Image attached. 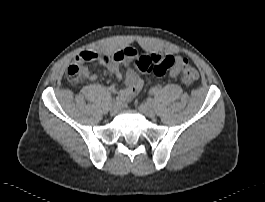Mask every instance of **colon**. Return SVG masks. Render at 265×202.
I'll return each instance as SVG.
<instances>
[{"label":"colon","mask_w":265,"mask_h":202,"mask_svg":"<svg viewBox=\"0 0 265 202\" xmlns=\"http://www.w3.org/2000/svg\"><path fill=\"white\" fill-rule=\"evenodd\" d=\"M133 51L122 50L115 54L116 59L125 56H133ZM175 59L172 56H162L158 54H143L133 61V68L144 74H154L156 76H164L166 72L173 68ZM66 77L72 84H78L83 80L84 69L80 64H71L66 70ZM200 78L198 70L187 59L182 60L179 79L182 83L190 85L198 81Z\"/></svg>","instance_id":"obj_1"}]
</instances>
